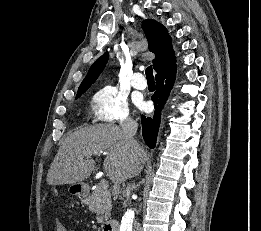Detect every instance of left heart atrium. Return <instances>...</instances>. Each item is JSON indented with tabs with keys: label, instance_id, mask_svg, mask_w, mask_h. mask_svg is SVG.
Returning a JSON list of instances; mask_svg holds the SVG:
<instances>
[{
	"label": "left heart atrium",
	"instance_id": "left-heart-atrium-1",
	"mask_svg": "<svg viewBox=\"0 0 261 231\" xmlns=\"http://www.w3.org/2000/svg\"><path fill=\"white\" fill-rule=\"evenodd\" d=\"M139 104H140V106H142V107H143V105H144L142 102H140Z\"/></svg>",
	"mask_w": 261,
	"mask_h": 231
}]
</instances>
